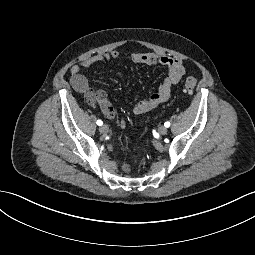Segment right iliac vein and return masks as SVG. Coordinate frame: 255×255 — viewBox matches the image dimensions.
I'll use <instances>...</instances> for the list:
<instances>
[{
  "label": "right iliac vein",
  "instance_id": "63e3f726",
  "mask_svg": "<svg viewBox=\"0 0 255 255\" xmlns=\"http://www.w3.org/2000/svg\"><path fill=\"white\" fill-rule=\"evenodd\" d=\"M99 131L103 134H106L109 131V127L107 125H102L99 127Z\"/></svg>",
  "mask_w": 255,
  "mask_h": 255
}]
</instances>
